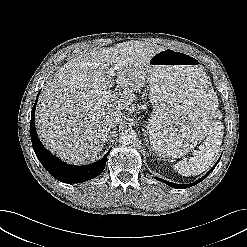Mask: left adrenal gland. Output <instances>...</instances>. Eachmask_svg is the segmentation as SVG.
<instances>
[{
  "label": "left adrenal gland",
  "mask_w": 247,
  "mask_h": 247,
  "mask_svg": "<svg viewBox=\"0 0 247 247\" xmlns=\"http://www.w3.org/2000/svg\"><path fill=\"white\" fill-rule=\"evenodd\" d=\"M144 136H145L146 145L149 148V141H148V138H147V134L145 132H144Z\"/></svg>",
  "instance_id": "a2214340"
}]
</instances>
